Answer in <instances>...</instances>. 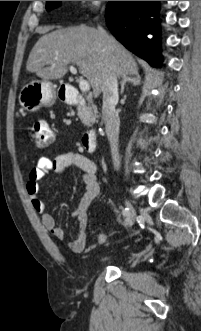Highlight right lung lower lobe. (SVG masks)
<instances>
[{"label":"right lung lower lobe","instance_id":"1","mask_svg":"<svg viewBox=\"0 0 201 331\" xmlns=\"http://www.w3.org/2000/svg\"><path fill=\"white\" fill-rule=\"evenodd\" d=\"M156 1H109L106 24L112 34L137 56L160 67L159 24ZM147 34H153L152 39Z\"/></svg>","mask_w":201,"mask_h":331}]
</instances>
